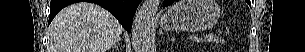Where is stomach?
Wrapping results in <instances>:
<instances>
[{
	"label": "stomach",
	"instance_id": "stomach-1",
	"mask_svg": "<svg viewBox=\"0 0 305 52\" xmlns=\"http://www.w3.org/2000/svg\"><path fill=\"white\" fill-rule=\"evenodd\" d=\"M220 8L215 0L177 1L160 19V27L170 32H195L212 28Z\"/></svg>",
	"mask_w": 305,
	"mask_h": 52
}]
</instances>
